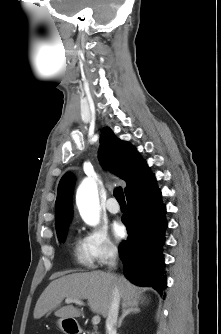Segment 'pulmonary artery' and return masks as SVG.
Listing matches in <instances>:
<instances>
[{
    "mask_svg": "<svg viewBox=\"0 0 221 334\" xmlns=\"http://www.w3.org/2000/svg\"><path fill=\"white\" fill-rule=\"evenodd\" d=\"M106 208L112 214H117L120 211V206L116 202L115 198H109L107 200Z\"/></svg>",
    "mask_w": 221,
    "mask_h": 334,
    "instance_id": "pulmonary-artery-1",
    "label": "pulmonary artery"
}]
</instances>
